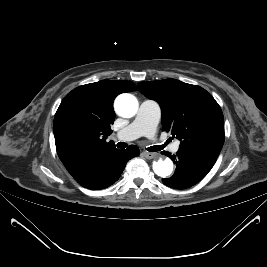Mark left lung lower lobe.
Listing matches in <instances>:
<instances>
[{"mask_svg": "<svg viewBox=\"0 0 267 267\" xmlns=\"http://www.w3.org/2000/svg\"><path fill=\"white\" fill-rule=\"evenodd\" d=\"M176 164L175 173L163 183L171 188H189L202 180L211 170L217 157L203 152L179 149L176 155L162 152Z\"/></svg>", "mask_w": 267, "mask_h": 267, "instance_id": "obj_1", "label": "left lung lower lobe"}]
</instances>
